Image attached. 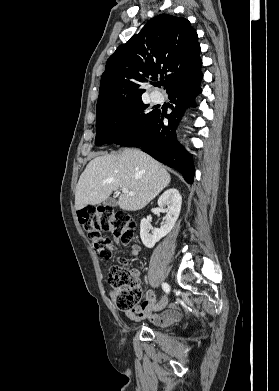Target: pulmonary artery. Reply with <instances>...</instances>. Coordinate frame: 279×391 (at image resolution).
<instances>
[{
    "label": "pulmonary artery",
    "mask_w": 279,
    "mask_h": 391,
    "mask_svg": "<svg viewBox=\"0 0 279 391\" xmlns=\"http://www.w3.org/2000/svg\"><path fill=\"white\" fill-rule=\"evenodd\" d=\"M151 99L154 103H161L163 101V96L158 92H152Z\"/></svg>",
    "instance_id": "1"
}]
</instances>
